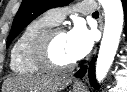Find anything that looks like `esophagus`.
Here are the masks:
<instances>
[{
  "mask_svg": "<svg viewBox=\"0 0 127 92\" xmlns=\"http://www.w3.org/2000/svg\"><path fill=\"white\" fill-rule=\"evenodd\" d=\"M75 85L78 87H81L83 84H82V82H76Z\"/></svg>",
  "mask_w": 127,
  "mask_h": 92,
  "instance_id": "esophagus-1",
  "label": "esophagus"
}]
</instances>
